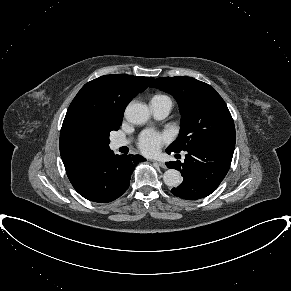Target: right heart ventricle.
<instances>
[{
  "label": "right heart ventricle",
  "mask_w": 291,
  "mask_h": 291,
  "mask_svg": "<svg viewBox=\"0 0 291 291\" xmlns=\"http://www.w3.org/2000/svg\"><path fill=\"white\" fill-rule=\"evenodd\" d=\"M154 97H166V96H163V95H156Z\"/></svg>",
  "instance_id": "right-heart-ventricle-1"
}]
</instances>
